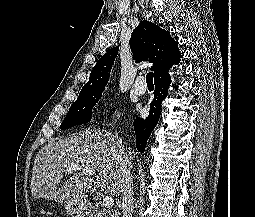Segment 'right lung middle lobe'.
Listing matches in <instances>:
<instances>
[{
	"label": "right lung middle lobe",
	"mask_w": 255,
	"mask_h": 217,
	"mask_svg": "<svg viewBox=\"0 0 255 217\" xmlns=\"http://www.w3.org/2000/svg\"><path fill=\"white\" fill-rule=\"evenodd\" d=\"M102 96V91L79 94L77 100L71 105L69 112L60 125L61 129L73 127L91 120L92 108Z\"/></svg>",
	"instance_id": "right-lung-middle-lobe-1"
}]
</instances>
